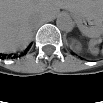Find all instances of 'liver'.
<instances>
[{"label":"liver","mask_w":103,"mask_h":103,"mask_svg":"<svg viewBox=\"0 0 103 103\" xmlns=\"http://www.w3.org/2000/svg\"><path fill=\"white\" fill-rule=\"evenodd\" d=\"M71 0H1L0 41L2 52L25 48L39 20L50 21L60 9L71 11ZM102 2V1H101Z\"/></svg>","instance_id":"1"}]
</instances>
